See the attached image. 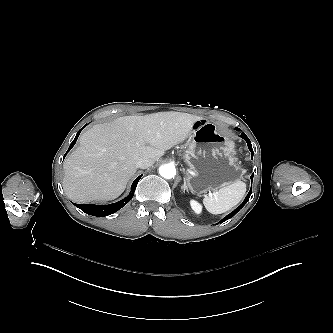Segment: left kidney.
Wrapping results in <instances>:
<instances>
[{"mask_svg": "<svg viewBox=\"0 0 333 333\" xmlns=\"http://www.w3.org/2000/svg\"><path fill=\"white\" fill-rule=\"evenodd\" d=\"M191 206L196 213H199L201 211L200 205L197 204L195 201L191 202Z\"/></svg>", "mask_w": 333, "mask_h": 333, "instance_id": "left-kidney-1", "label": "left kidney"}]
</instances>
